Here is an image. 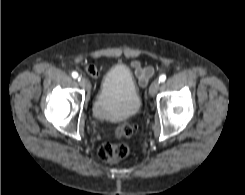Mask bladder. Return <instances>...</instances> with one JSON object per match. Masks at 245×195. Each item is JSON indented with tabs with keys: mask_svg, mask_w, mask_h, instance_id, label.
Returning a JSON list of instances; mask_svg holds the SVG:
<instances>
[{
	"mask_svg": "<svg viewBox=\"0 0 245 195\" xmlns=\"http://www.w3.org/2000/svg\"><path fill=\"white\" fill-rule=\"evenodd\" d=\"M141 96L128 67L117 64L104 75L92 105L98 121L120 122L135 116L141 108Z\"/></svg>",
	"mask_w": 245,
	"mask_h": 195,
	"instance_id": "1",
	"label": "bladder"
}]
</instances>
